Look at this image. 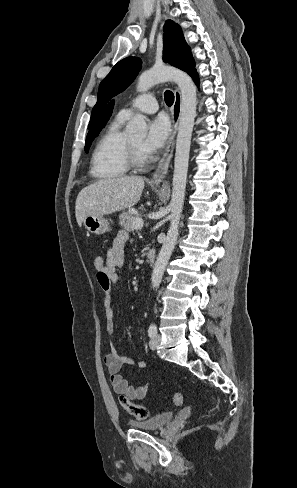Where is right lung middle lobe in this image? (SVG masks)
Returning <instances> with one entry per match:
<instances>
[{"label":"right lung middle lobe","instance_id":"right-lung-middle-lobe-1","mask_svg":"<svg viewBox=\"0 0 297 488\" xmlns=\"http://www.w3.org/2000/svg\"><path fill=\"white\" fill-rule=\"evenodd\" d=\"M101 128H99L92 136L87 137V139H86V145H85V148H84L86 153L89 151V148L91 146V143H92L93 139L96 136H98L99 132L101 131Z\"/></svg>","mask_w":297,"mask_h":488}]
</instances>
